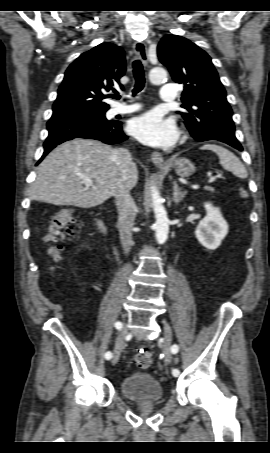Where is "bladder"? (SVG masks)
<instances>
[{
	"instance_id": "31cf9c89",
	"label": "bladder",
	"mask_w": 270,
	"mask_h": 453,
	"mask_svg": "<svg viewBox=\"0 0 270 453\" xmlns=\"http://www.w3.org/2000/svg\"><path fill=\"white\" fill-rule=\"evenodd\" d=\"M120 390L131 401H159L164 397V388L159 380L149 373L134 372L126 376Z\"/></svg>"
}]
</instances>
